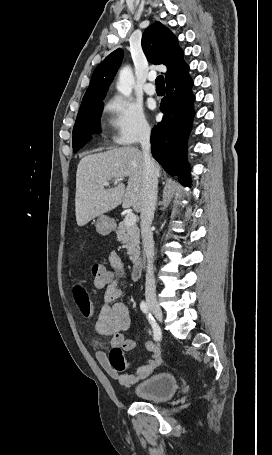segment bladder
Masks as SVG:
<instances>
[{
  "mask_svg": "<svg viewBox=\"0 0 272 455\" xmlns=\"http://www.w3.org/2000/svg\"><path fill=\"white\" fill-rule=\"evenodd\" d=\"M178 387V380L172 373L160 372L139 383L134 394L143 400L163 401L171 398Z\"/></svg>",
  "mask_w": 272,
  "mask_h": 455,
  "instance_id": "1",
  "label": "bladder"
}]
</instances>
